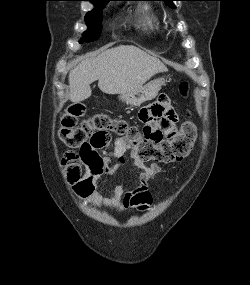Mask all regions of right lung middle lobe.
<instances>
[{
    "label": "right lung middle lobe",
    "instance_id": "dd1d6c3e",
    "mask_svg": "<svg viewBox=\"0 0 250 285\" xmlns=\"http://www.w3.org/2000/svg\"><path fill=\"white\" fill-rule=\"evenodd\" d=\"M107 3H94L96 9L88 12L85 16V22L88 29L80 39V43L93 42L97 40L101 34L102 28V9Z\"/></svg>",
    "mask_w": 250,
    "mask_h": 285
}]
</instances>
